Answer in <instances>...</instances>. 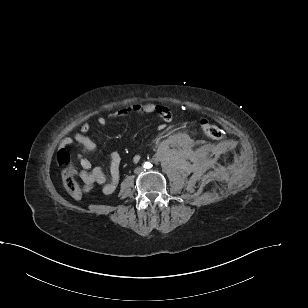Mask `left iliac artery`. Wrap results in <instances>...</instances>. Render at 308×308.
Wrapping results in <instances>:
<instances>
[{
    "mask_svg": "<svg viewBox=\"0 0 308 308\" xmlns=\"http://www.w3.org/2000/svg\"><path fill=\"white\" fill-rule=\"evenodd\" d=\"M147 168H150L152 165L150 163H145Z\"/></svg>",
    "mask_w": 308,
    "mask_h": 308,
    "instance_id": "obj_1",
    "label": "left iliac artery"
}]
</instances>
